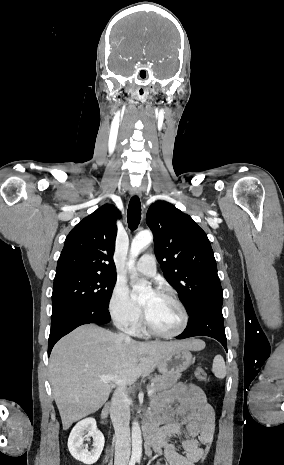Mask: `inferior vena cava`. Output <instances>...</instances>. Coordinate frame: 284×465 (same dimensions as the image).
<instances>
[{"mask_svg":"<svg viewBox=\"0 0 284 465\" xmlns=\"http://www.w3.org/2000/svg\"><path fill=\"white\" fill-rule=\"evenodd\" d=\"M123 337L126 341H131L127 335H123ZM110 417L116 437L114 465H128L131 453L130 409L128 397L123 389H116L111 399Z\"/></svg>","mask_w":284,"mask_h":465,"instance_id":"inferior-vena-cava-1","label":"inferior vena cava"}]
</instances>
